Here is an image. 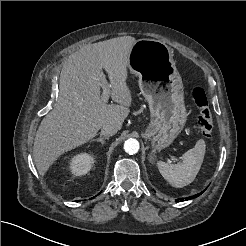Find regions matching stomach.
<instances>
[{
  "mask_svg": "<svg viewBox=\"0 0 246 246\" xmlns=\"http://www.w3.org/2000/svg\"><path fill=\"white\" fill-rule=\"evenodd\" d=\"M128 68L139 77V88L149 104L150 123L144 137L153 151L168 147L182 131L187 112L181 76L173 51L154 39H139L129 53Z\"/></svg>",
  "mask_w": 246,
  "mask_h": 246,
  "instance_id": "obj_1",
  "label": "stomach"
}]
</instances>
